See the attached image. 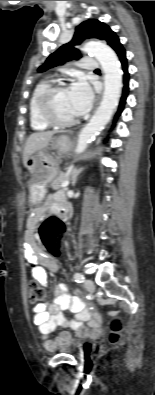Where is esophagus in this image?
Returning <instances> with one entry per match:
<instances>
[{"instance_id":"obj_1","label":"esophagus","mask_w":155,"mask_h":395,"mask_svg":"<svg viewBox=\"0 0 155 395\" xmlns=\"http://www.w3.org/2000/svg\"><path fill=\"white\" fill-rule=\"evenodd\" d=\"M100 100H101V97L98 96L97 99H96V103L98 104L100 102Z\"/></svg>"}]
</instances>
